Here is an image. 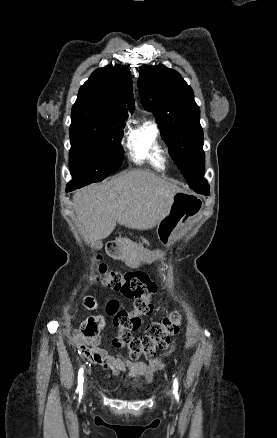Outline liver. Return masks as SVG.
<instances>
[{
    "instance_id": "obj_1",
    "label": "liver",
    "mask_w": 277,
    "mask_h": 438,
    "mask_svg": "<svg viewBox=\"0 0 277 438\" xmlns=\"http://www.w3.org/2000/svg\"><path fill=\"white\" fill-rule=\"evenodd\" d=\"M175 186L145 170H132L105 184H91L73 196L75 214L91 246L105 240L116 224L151 230L165 218Z\"/></svg>"
}]
</instances>
